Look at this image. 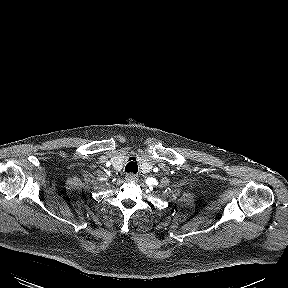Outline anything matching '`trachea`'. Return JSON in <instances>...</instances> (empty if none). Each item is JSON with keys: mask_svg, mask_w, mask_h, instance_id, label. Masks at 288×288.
Returning <instances> with one entry per match:
<instances>
[{"mask_svg": "<svg viewBox=\"0 0 288 288\" xmlns=\"http://www.w3.org/2000/svg\"><path fill=\"white\" fill-rule=\"evenodd\" d=\"M136 162L137 161L135 160V158H130L129 162L126 164L125 171L127 173H137L138 165Z\"/></svg>", "mask_w": 288, "mask_h": 288, "instance_id": "3493384b", "label": "trachea"}]
</instances>
